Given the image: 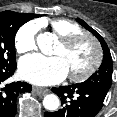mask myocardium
Listing matches in <instances>:
<instances>
[{
    "instance_id": "myocardium-1",
    "label": "myocardium",
    "mask_w": 117,
    "mask_h": 117,
    "mask_svg": "<svg viewBox=\"0 0 117 117\" xmlns=\"http://www.w3.org/2000/svg\"><path fill=\"white\" fill-rule=\"evenodd\" d=\"M84 39H87L92 43L93 49H94V59L92 63L82 72L69 73V78L75 82L84 81L97 71V69L99 68L102 62V48L97 38L92 34L86 33V32L76 33V34H72L64 38H61V44L65 48H71L74 45H76L78 42Z\"/></svg>"
}]
</instances>
